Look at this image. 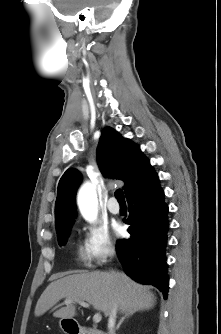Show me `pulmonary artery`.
I'll use <instances>...</instances> for the list:
<instances>
[{
	"label": "pulmonary artery",
	"mask_w": 221,
	"mask_h": 334,
	"mask_svg": "<svg viewBox=\"0 0 221 334\" xmlns=\"http://www.w3.org/2000/svg\"><path fill=\"white\" fill-rule=\"evenodd\" d=\"M108 210L112 214H118L120 212V206L117 204L116 199L111 197L107 204Z\"/></svg>",
	"instance_id": "e3ab8cb5"
}]
</instances>
